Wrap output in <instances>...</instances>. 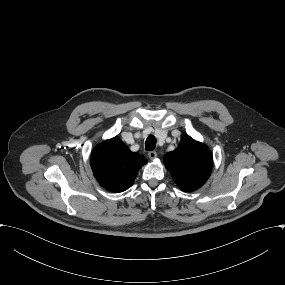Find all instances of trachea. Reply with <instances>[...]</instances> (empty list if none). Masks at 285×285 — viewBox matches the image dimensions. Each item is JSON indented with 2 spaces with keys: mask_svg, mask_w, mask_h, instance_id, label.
Returning <instances> with one entry per match:
<instances>
[{
  "mask_svg": "<svg viewBox=\"0 0 285 285\" xmlns=\"http://www.w3.org/2000/svg\"><path fill=\"white\" fill-rule=\"evenodd\" d=\"M156 143H157V139L153 135L148 136V138L146 139V143H145V149L147 151L154 150V148L156 147Z\"/></svg>",
  "mask_w": 285,
  "mask_h": 285,
  "instance_id": "3493384b",
  "label": "trachea"
}]
</instances>
